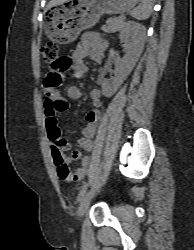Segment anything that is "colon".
<instances>
[{"label":"colon","instance_id":"obj_1","mask_svg":"<svg viewBox=\"0 0 194 250\" xmlns=\"http://www.w3.org/2000/svg\"><path fill=\"white\" fill-rule=\"evenodd\" d=\"M59 50L60 45L55 42L47 43L41 48L42 60L49 64L51 68H53V72L48 74L46 79L49 87L51 88H57L61 86L63 81L62 73L59 72V70L63 69L64 65L66 64V60L63 57H59ZM57 106L64 107L65 104H56L52 98L48 97L46 101V110L52 111ZM51 142L57 173L61 179L69 180L71 173L63 159V152L69 147V144L64 139H61L60 136L52 137Z\"/></svg>","mask_w":194,"mask_h":250}]
</instances>
